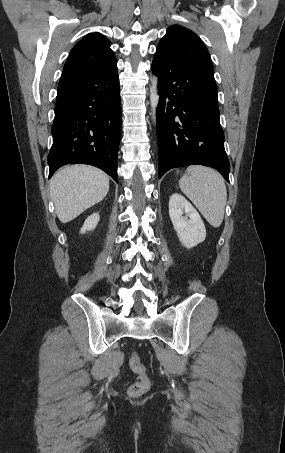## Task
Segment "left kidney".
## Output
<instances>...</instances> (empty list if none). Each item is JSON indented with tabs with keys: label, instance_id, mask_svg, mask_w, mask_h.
I'll list each match as a JSON object with an SVG mask.
<instances>
[{
	"label": "left kidney",
	"instance_id": "left-kidney-1",
	"mask_svg": "<svg viewBox=\"0 0 285 453\" xmlns=\"http://www.w3.org/2000/svg\"><path fill=\"white\" fill-rule=\"evenodd\" d=\"M169 216L184 247L192 248L205 240L206 229L199 213L181 194L171 195Z\"/></svg>",
	"mask_w": 285,
	"mask_h": 453
}]
</instances>
